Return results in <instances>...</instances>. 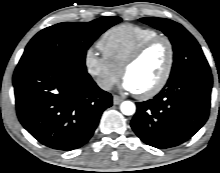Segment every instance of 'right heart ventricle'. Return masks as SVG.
<instances>
[{
    "label": "right heart ventricle",
    "mask_w": 220,
    "mask_h": 173,
    "mask_svg": "<svg viewBox=\"0 0 220 173\" xmlns=\"http://www.w3.org/2000/svg\"><path fill=\"white\" fill-rule=\"evenodd\" d=\"M158 35L156 30L149 27L121 24L105 32L98 47L108 61L122 70L125 61L138 46Z\"/></svg>",
    "instance_id": "right-heart-ventricle-1"
}]
</instances>
